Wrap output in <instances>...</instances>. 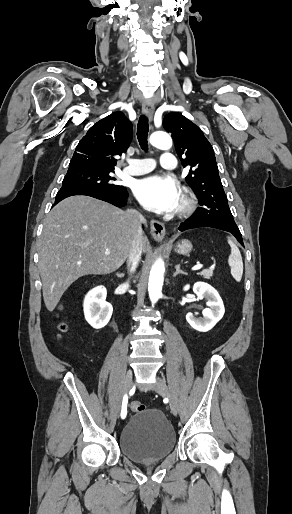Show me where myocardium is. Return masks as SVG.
<instances>
[{
    "instance_id": "1",
    "label": "myocardium",
    "mask_w": 292,
    "mask_h": 514,
    "mask_svg": "<svg viewBox=\"0 0 292 514\" xmlns=\"http://www.w3.org/2000/svg\"><path fill=\"white\" fill-rule=\"evenodd\" d=\"M194 206L193 200L185 193L182 195L180 199V203L178 205V212L180 214H187L192 211Z\"/></svg>"
}]
</instances>
